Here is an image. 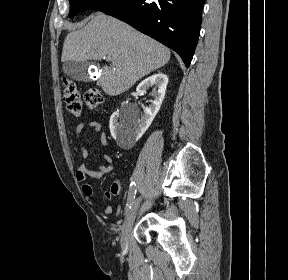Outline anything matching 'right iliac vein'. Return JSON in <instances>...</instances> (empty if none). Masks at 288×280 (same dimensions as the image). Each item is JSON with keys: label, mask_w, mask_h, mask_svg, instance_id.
<instances>
[{"label": "right iliac vein", "mask_w": 288, "mask_h": 280, "mask_svg": "<svg viewBox=\"0 0 288 280\" xmlns=\"http://www.w3.org/2000/svg\"><path fill=\"white\" fill-rule=\"evenodd\" d=\"M142 197L139 196L135 199V201L133 202L130 210L127 213V216L124 220V223L122 225V231H121V248L123 250H126L128 248V244H129V234L133 225V222L135 220L136 214H137V210L139 208V205L141 203Z\"/></svg>", "instance_id": "obj_1"}]
</instances>
